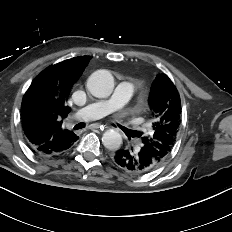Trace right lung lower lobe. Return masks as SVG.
Segmentation results:
<instances>
[{
  "mask_svg": "<svg viewBox=\"0 0 232 232\" xmlns=\"http://www.w3.org/2000/svg\"><path fill=\"white\" fill-rule=\"evenodd\" d=\"M26 140L30 149L40 156H55L65 153L69 150L73 144L78 140V136L74 133L66 134H54L51 139L42 144H37L34 138L36 137V130L33 129L29 123L23 127Z\"/></svg>",
  "mask_w": 232,
  "mask_h": 232,
  "instance_id": "right-lung-lower-lobe-1",
  "label": "right lung lower lobe"
}]
</instances>
